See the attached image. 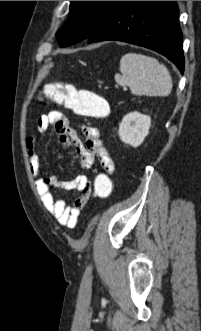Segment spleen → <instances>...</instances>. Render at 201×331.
Masks as SVG:
<instances>
[{
  "label": "spleen",
  "mask_w": 201,
  "mask_h": 331,
  "mask_svg": "<svg viewBox=\"0 0 201 331\" xmlns=\"http://www.w3.org/2000/svg\"><path fill=\"white\" fill-rule=\"evenodd\" d=\"M121 74H115V81L129 86L137 96H168L172 90V78L166 66L155 58L142 54L128 53L120 60Z\"/></svg>",
  "instance_id": "spleen-1"
}]
</instances>
